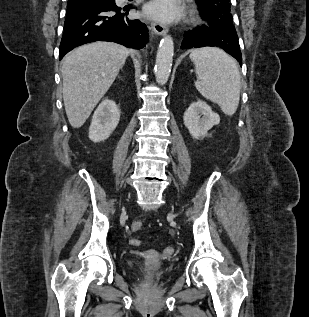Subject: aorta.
Here are the masks:
<instances>
[{"label": "aorta", "instance_id": "aorta-1", "mask_svg": "<svg viewBox=\"0 0 309 317\" xmlns=\"http://www.w3.org/2000/svg\"><path fill=\"white\" fill-rule=\"evenodd\" d=\"M174 53V43L171 36H165L159 45L156 55L155 77L160 85H164L170 76Z\"/></svg>", "mask_w": 309, "mask_h": 317}]
</instances>
